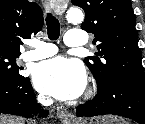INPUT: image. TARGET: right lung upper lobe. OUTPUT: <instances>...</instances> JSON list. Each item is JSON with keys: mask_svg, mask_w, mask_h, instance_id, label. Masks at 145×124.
<instances>
[{"mask_svg": "<svg viewBox=\"0 0 145 124\" xmlns=\"http://www.w3.org/2000/svg\"><path fill=\"white\" fill-rule=\"evenodd\" d=\"M42 9L28 0H0V51L20 55L21 38L42 29Z\"/></svg>", "mask_w": 145, "mask_h": 124, "instance_id": "1", "label": "right lung upper lobe"}]
</instances>
